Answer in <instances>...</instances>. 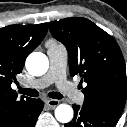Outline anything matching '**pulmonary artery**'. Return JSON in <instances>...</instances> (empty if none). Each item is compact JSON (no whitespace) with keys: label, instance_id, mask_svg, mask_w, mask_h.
Masks as SVG:
<instances>
[{"label":"pulmonary artery","instance_id":"1","mask_svg":"<svg viewBox=\"0 0 127 127\" xmlns=\"http://www.w3.org/2000/svg\"><path fill=\"white\" fill-rule=\"evenodd\" d=\"M47 55L49 58V70L41 78L26 82L24 85L30 88L41 89L56 83L61 93L71 100L81 102L82 94L76 90L74 85L66 80L65 68L67 53L62 46L47 45Z\"/></svg>","mask_w":127,"mask_h":127}]
</instances>
